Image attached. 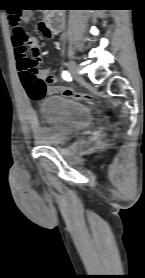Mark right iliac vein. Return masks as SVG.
Returning <instances> with one entry per match:
<instances>
[{
  "label": "right iliac vein",
  "mask_w": 145,
  "mask_h": 278,
  "mask_svg": "<svg viewBox=\"0 0 145 278\" xmlns=\"http://www.w3.org/2000/svg\"><path fill=\"white\" fill-rule=\"evenodd\" d=\"M68 68H69V72L70 74L76 78V79H79V80H82L83 77L79 74V69L78 67L76 66V64L73 62V61H69L68 63Z\"/></svg>",
  "instance_id": "obj_1"
}]
</instances>
